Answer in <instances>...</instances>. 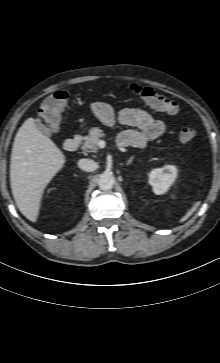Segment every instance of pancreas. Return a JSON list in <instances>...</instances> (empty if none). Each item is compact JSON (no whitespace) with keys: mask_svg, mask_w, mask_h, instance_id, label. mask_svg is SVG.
<instances>
[{"mask_svg":"<svg viewBox=\"0 0 220 363\" xmlns=\"http://www.w3.org/2000/svg\"><path fill=\"white\" fill-rule=\"evenodd\" d=\"M105 137L103 130L95 128L89 132V135L85 137L82 149L88 152H97L98 142L101 138Z\"/></svg>","mask_w":220,"mask_h":363,"instance_id":"cf45deb5","label":"pancreas"}]
</instances>
